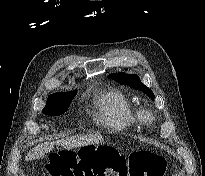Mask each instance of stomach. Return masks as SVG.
I'll use <instances>...</instances> for the list:
<instances>
[{
    "label": "stomach",
    "mask_w": 205,
    "mask_h": 176,
    "mask_svg": "<svg viewBox=\"0 0 205 176\" xmlns=\"http://www.w3.org/2000/svg\"><path fill=\"white\" fill-rule=\"evenodd\" d=\"M103 146L104 145H93V144H91V145L83 146L81 148V150H84V151L88 152V151H90L94 148V150L97 151L99 148H102Z\"/></svg>",
    "instance_id": "1"
}]
</instances>
